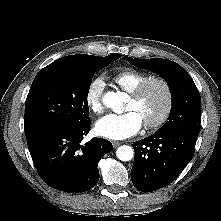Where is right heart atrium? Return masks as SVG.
I'll return each instance as SVG.
<instances>
[{
    "label": "right heart atrium",
    "mask_w": 221,
    "mask_h": 221,
    "mask_svg": "<svg viewBox=\"0 0 221 221\" xmlns=\"http://www.w3.org/2000/svg\"><path fill=\"white\" fill-rule=\"evenodd\" d=\"M105 91V82L102 78H95L91 80L85 92V102L88 108L100 114L104 110L103 96Z\"/></svg>",
    "instance_id": "d8ad5b80"
}]
</instances>
